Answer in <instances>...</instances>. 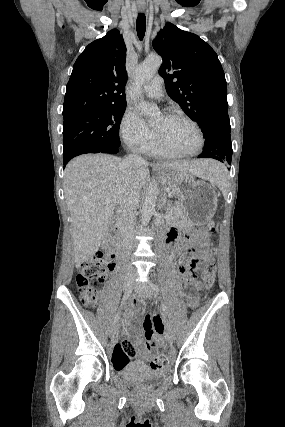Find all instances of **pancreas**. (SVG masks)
Instances as JSON below:
<instances>
[{
    "label": "pancreas",
    "mask_w": 285,
    "mask_h": 427,
    "mask_svg": "<svg viewBox=\"0 0 285 427\" xmlns=\"http://www.w3.org/2000/svg\"><path fill=\"white\" fill-rule=\"evenodd\" d=\"M166 214L170 215V218H166V222L169 224H177L185 220L181 208L171 203L166 208Z\"/></svg>",
    "instance_id": "cf45deb5"
}]
</instances>
